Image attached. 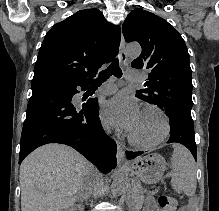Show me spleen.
<instances>
[{"mask_svg":"<svg viewBox=\"0 0 219 211\" xmlns=\"http://www.w3.org/2000/svg\"><path fill=\"white\" fill-rule=\"evenodd\" d=\"M171 185L177 193L193 195L197 187L194 157L181 143H173Z\"/></svg>","mask_w":219,"mask_h":211,"instance_id":"spleen-1","label":"spleen"}]
</instances>
